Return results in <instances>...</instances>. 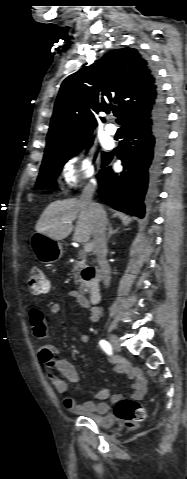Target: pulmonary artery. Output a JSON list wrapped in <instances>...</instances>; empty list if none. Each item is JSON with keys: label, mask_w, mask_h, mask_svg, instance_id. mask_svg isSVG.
<instances>
[{"label": "pulmonary artery", "mask_w": 187, "mask_h": 479, "mask_svg": "<svg viewBox=\"0 0 187 479\" xmlns=\"http://www.w3.org/2000/svg\"><path fill=\"white\" fill-rule=\"evenodd\" d=\"M105 130L109 135H115L117 132V127L115 124L110 123L106 125Z\"/></svg>", "instance_id": "e3ab8cb5"}]
</instances>
